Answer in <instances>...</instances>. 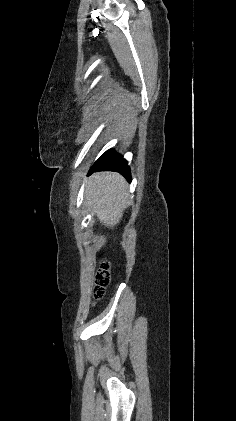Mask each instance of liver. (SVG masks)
I'll use <instances>...</instances> for the list:
<instances>
[{
	"label": "liver",
	"instance_id": "1",
	"mask_svg": "<svg viewBox=\"0 0 236 421\" xmlns=\"http://www.w3.org/2000/svg\"><path fill=\"white\" fill-rule=\"evenodd\" d=\"M128 184L118 172H94L85 186L87 204L106 227H115L123 217Z\"/></svg>",
	"mask_w": 236,
	"mask_h": 421
}]
</instances>
